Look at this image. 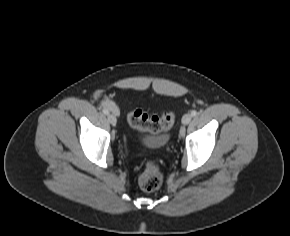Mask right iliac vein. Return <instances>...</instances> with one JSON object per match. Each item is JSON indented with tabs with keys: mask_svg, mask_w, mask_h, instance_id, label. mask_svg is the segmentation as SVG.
Instances as JSON below:
<instances>
[{
	"mask_svg": "<svg viewBox=\"0 0 290 236\" xmlns=\"http://www.w3.org/2000/svg\"><path fill=\"white\" fill-rule=\"evenodd\" d=\"M108 120L112 125H116L117 123L116 115L114 114H108Z\"/></svg>",
	"mask_w": 290,
	"mask_h": 236,
	"instance_id": "right-iliac-vein-1",
	"label": "right iliac vein"
}]
</instances>
